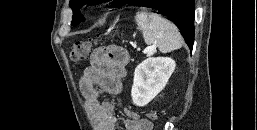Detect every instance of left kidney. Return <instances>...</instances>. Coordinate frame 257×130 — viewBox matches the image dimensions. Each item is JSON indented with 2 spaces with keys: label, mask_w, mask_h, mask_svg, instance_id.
<instances>
[{
  "label": "left kidney",
  "mask_w": 257,
  "mask_h": 130,
  "mask_svg": "<svg viewBox=\"0 0 257 130\" xmlns=\"http://www.w3.org/2000/svg\"><path fill=\"white\" fill-rule=\"evenodd\" d=\"M176 63L169 57L147 58L134 72L131 96L136 106L142 107L153 100L166 86Z\"/></svg>",
  "instance_id": "5707ae66"
}]
</instances>
